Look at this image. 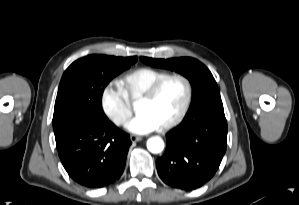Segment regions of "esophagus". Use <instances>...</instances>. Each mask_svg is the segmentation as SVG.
Masks as SVG:
<instances>
[{"instance_id": "34e87169", "label": "esophagus", "mask_w": 299, "mask_h": 205, "mask_svg": "<svg viewBox=\"0 0 299 205\" xmlns=\"http://www.w3.org/2000/svg\"><path fill=\"white\" fill-rule=\"evenodd\" d=\"M130 140L132 142H138V141L142 140V137L141 136H137V135H130Z\"/></svg>"}]
</instances>
